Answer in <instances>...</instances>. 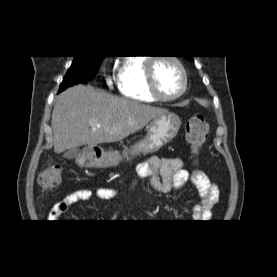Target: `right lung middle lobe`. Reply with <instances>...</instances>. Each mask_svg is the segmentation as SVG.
Segmentation results:
<instances>
[{"mask_svg":"<svg viewBox=\"0 0 277 277\" xmlns=\"http://www.w3.org/2000/svg\"><path fill=\"white\" fill-rule=\"evenodd\" d=\"M104 56L99 57H80L75 56L71 67L65 75L59 92L66 89L69 86L86 83L92 79L98 72L99 66Z\"/></svg>","mask_w":277,"mask_h":277,"instance_id":"right-lung-middle-lobe-1","label":"right lung middle lobe"}]
</instances>
